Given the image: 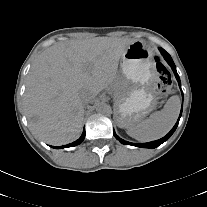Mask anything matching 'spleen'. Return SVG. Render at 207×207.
Wrapping results in <instances>:
<instances>
[{
  "label": "spleen",
  "mask_w": 207,
  "mask_h": 207,
  "mask_svg": "<svg viewBox=\"0 0 207 207\" xmlns=\"http://www.w3.org/2000/svg\"><path fill=\"white\" fill-rule=\"evenodd\" d=\"M181 101L178 96H172L164 108L150 115L143 121H134L127 126V134L132 138L149 142L166 135L177 121Z\"/></svg>",
  "instance_id": "3e777b00"
}]
</instances>
